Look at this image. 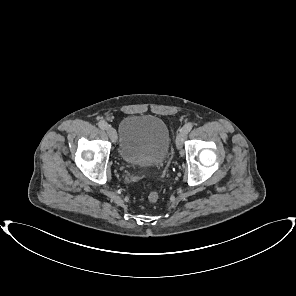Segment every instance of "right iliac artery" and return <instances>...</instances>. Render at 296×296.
I'll list each match as a JSON object with an SVG mask.
<instances>
[{
  "mask_svg": "<svg viewBox=\"0 0 296 296\" xmlns=\"http://www.w3.org/2000/svg\"><path fill=\"white\" fill-rule=\"evenodd\" d=\"M99 127L103 130L107 129L108 128V124L105 122V121H100L98 123Z\"/></svg>",
  "mask_w": 296,
  "mask_h": 296,
  "instance_id": "1",
  "label": "right iliac artery"
}]
</instances>
